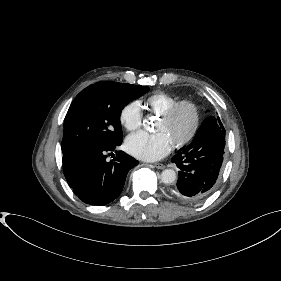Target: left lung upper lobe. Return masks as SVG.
<instances>
[{
    "instance_id": "obj_1",
    "label": "left lung upper lobe",
    "mask_w": 281,
    "mask_h": 281,
    "mask_svg": "<svg viewBox=\"0 0 281 281\" xmlns=\"http://www.w3.org/2000/svg\"><path fill=\"white\" fill-rule=\"evenodd\" d=\"M218 120L220 121V119L218 118ZM220 123H221V121H220ZM221 125H222V123H221Z\"/></svg>"
}]
</instances>
